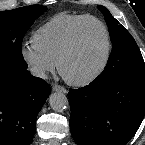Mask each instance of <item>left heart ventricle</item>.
I'll list each match as a JSON object with an SVG mask.
<instances>
[{
    "label": "left heart ventricle",
    "instance_id": "b2bd125f",
    "mask_svg": "<svg viewBox=\"0 0 145 145\" xmlns=\"http://www.w3.org/2000/svg\"><path fill=\"white\" fill-rule=\"evenodd\" d=\"M105 50L106 38L102 27L94 21L84 23L77 46L63 66L64 74L72 79L89 75L101 64Z\"/></svg>",
    "mask_w": 145,
    "mask_h": 145
}]
</instances>
